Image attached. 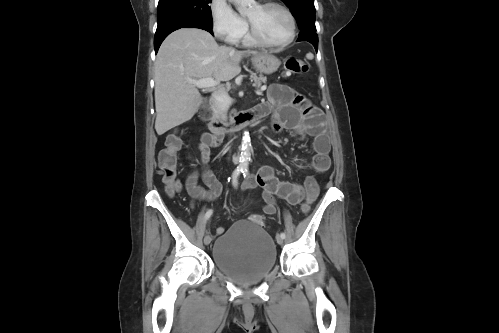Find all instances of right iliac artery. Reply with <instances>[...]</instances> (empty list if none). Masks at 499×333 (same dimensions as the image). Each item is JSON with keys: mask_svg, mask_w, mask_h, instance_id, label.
Wrapping results in <instances>:
<instances>
[{"mask_svg": "<svg viewBox=\"0 0 499 333\" xmlns=\"http://www.w3.org/2000/svg\"><path fill=\"white\" fill-rule=\"evenodd\" d=\"M243 172V169L242 168H237L234 172H233V175H232V183L234 185V187L237 186L238 184V177L239 175ZM212 215V210H208L205 214V221H207Z\"/></svg>", "mask_w": 499, "mask_h": 333, "instance_id": "82829eb1", "label": "right iliac artery"}]
</instances>
